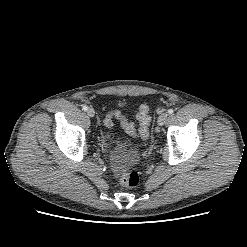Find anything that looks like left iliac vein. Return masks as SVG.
I'll return each instance as SVG.
<instances>
[{
    "label": "left iliac vein",
    "instance_id": "left-iliac-vein-1",
    "mask_svg": "<svg viewBox=\"0 0 247 247\" xmlns=\"http://www.w3.org/2000/svg\"><path fill=\"white\" fill-rule=\"evenodd\" d=\"M168 117V114L167 113H162L159 117H158V125L159 126H163L166 122V119Z\"/></svg>",
    "mask_w": 247,
    "mask_h": 247
}]
</instances>
